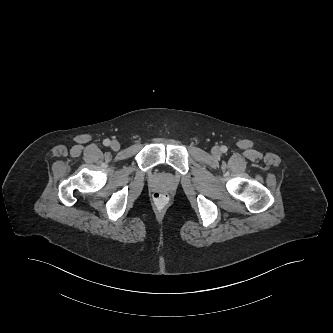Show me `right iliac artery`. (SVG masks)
I'll use <instances>...</instances> for the list:
<instances>
[{
  "mask_svg": "<svg viewBox=\"0 0 333 333\" xmlns=\"http://www.w3.org/2000/svg\"><path fill=\"white\" fill-rule=\"evenodd\" d=\"M103 144H104L105 146H109V145H110V140H109V139H105V140L103 141Z\"/></svg>",
  "mask_w": 333,
  "mask_h": 333,
  "instance_id": "1",
  "label": "right iliac artery"
}]
</instances>
